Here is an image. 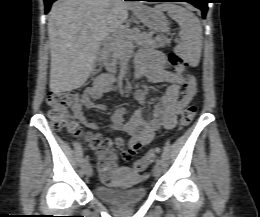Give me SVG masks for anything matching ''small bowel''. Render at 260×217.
Segmentation results:
<instances>
[{
    "label": "small bowel",
    "mask_w": 260,
    "mask_h": 217,
    "mask_svg": "<svg viewBox=\"0 0 260 217\" xmlns=\"http://www.w3.org/2000/svg\"><path fill=\"white\" fill-rule=\"evenodd\" d=\"M148 74L149 79L154 83H166L167 89L160 101L153 105L148 118H145L141 109L134 112L129 120L125 119L126 109L117 107L112 115L111 126L114 130L128 134L131 139L129 141V150L131 156L142 146L150 144L154 136L161 129H172L177 122V115L185 108L189 101L196 93V82L193 76H182L168 69L166 57L164 53L157 50H142L136 58L135 77L139 78L144 73ZM185 82L188 83L184 93L180 92V86ZM112 88L102 89L96 83L89 87L86 92V98L83 104L73 107V112L81 123L92 129H97L99 126L96 123L89 122L83 113V106L88 109L104 111L106 106L98 103L97 100ZM135 98L141 105L148 102L146 92L142 89H136L134 92ZM115 146L122 149L125 145L123 139L116 138ZM131 156H123V152L118 154L110 151L100 156L101 161H107L104 171L100 170L101 177L105 180L115 172L118 162L128 161Z\"/></svg>",
    "instance_id": "obj_1"
}]
</instances>
